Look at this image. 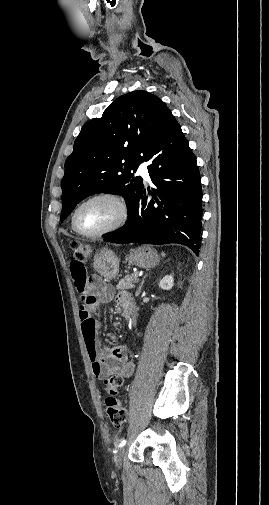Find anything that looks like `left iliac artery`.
<instances>
[{
	"mask_svg": "<svg viewBox=\"0 0 269 505\" xmlns=\"http://www.w3.org/2000/svg\"><path fill=\"white\" fill-rule=\"evenodd\" d=\"M125 444H126V440L124 439V440H122V441L119 443L118 447H123Z\"/></svg>",
	"mask_w": 269,
	"mask_h": 505,
	"instance_id": "obj_1",
	"label": "left iliac artery"
}]
</instances>
